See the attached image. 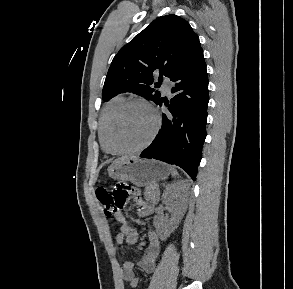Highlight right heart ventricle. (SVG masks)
Wrapping results in <instances>:
<instances>
[{"instance_id": "e07e8e85", "label": "right heart ventricle", "mask_w": 293, "mask_h": 289, "mask_svg": "<svg viewBox=\"0 0 293 289\" xmlns=\"http://www.w3.org/2000/svg\"><path fill=\"white\" fill-rule=\"evenodd\" d=\"M126 101L124 95L119 94L112 98L107 105L104 107L100 119H99V127H98V137L101 144L102 149L106 151V142H105V135L106 129L109 123L110 118L112 117L113 113Z\"/></svg>"}]
</instances>
